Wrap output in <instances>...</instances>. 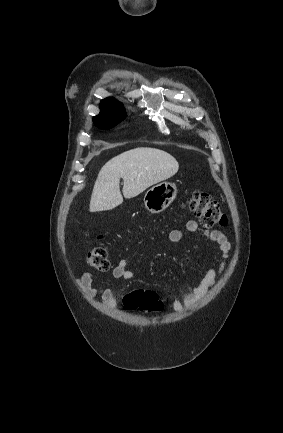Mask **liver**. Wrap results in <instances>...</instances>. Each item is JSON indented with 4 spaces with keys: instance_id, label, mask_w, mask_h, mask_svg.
Listing matches in <instances>:
<instances>
[{
    "instance_id": "liver-1",
    "label": "liver",
    "mask_w": 283,
    "mask_h": 433,
    "mask_svg": "<svg viewBox=\"0 0 283 433\" xmlns=\"http://www.w3.org/2000/svg\"><path fill=\"white\" fill-rule=\"evenodd\" d=\"M179 164L169 152L149 146H138L108 160L95 180L89 210H110L123 202L120 178L124 180L125 198H133L145 188L166 180L177 172Z\"/></svg>"
}]
</instances>
